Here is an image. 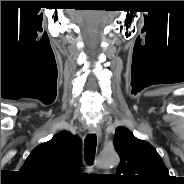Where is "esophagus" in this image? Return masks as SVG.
I'll use <instances>...</instances> for the list:
<instances>
[{
    "label": "esophagus",
    "mask_w": 184,
    "mask_h": 184,
    "mask_svg": "<svg viewBox=\"0 0 184 184\" xmlns=\"http://www.w3.org/2000/svg\"><path fill=\"white\" fill-rule=\"evenodd\" d=\"M89 132L97 135L99 138L101 137V128L98 125H91L89 127Z\"/></svg>",
    "instance_id": "esophagus-1"
}]
</instances>
